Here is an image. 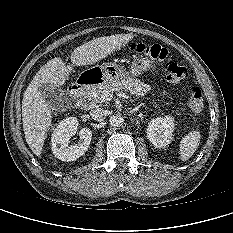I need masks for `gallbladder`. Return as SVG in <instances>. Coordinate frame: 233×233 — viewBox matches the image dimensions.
Instances as JSON below:
<instances>
[{
  "label": "gallbladder",
  "instance_id": "gallbladder-1",
  "mask_svg": "<svg viewBox=\"0 0 233 233\" xmlns=\"http://www.w3.org/2000/svg\"><path fill=\"white\" fill-rule=\"evenodd\" d=\"M39 91L49 103V106L54 110L63 111L70 105L69 98L59 87L51 84H43L39 87Z\"/></svg>",
  "mask_w": 233,
  "mask_h": 233
}]
</instances>
